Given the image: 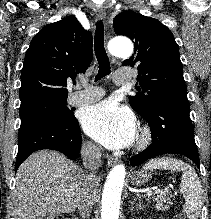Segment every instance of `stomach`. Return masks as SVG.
<instances>
[{
	"mask_svg": "<svg viewBox=\"0 0 211 219\" xmlns=\"http://www.w3.org/2000/svg\"><path fill=\"white\" fill-rule=\"evenodd\" d=\"M151 179V174L145 170L134 171L130 175L131 183L135 186L145 185Z\"/></svg>",
	"mask_w": 211,
	"mask_h": 219,
	"instance_id": "0dacf381",
	"label": "stomach"
}]
</instances>
